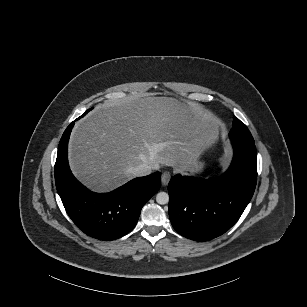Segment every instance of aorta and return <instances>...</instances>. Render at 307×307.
Wrapping results in <instances>:
<instances>
[{"mask_svg": "<svg viewBox=\"0 0 307 307\" xmlns=\"http://www.w3.org/2000/svg\"><path fill=\"white\" fill-rule=\"evenodd\" d=\"M156 201L158 204L164 205L168 203L169 201V196L166 192H159L156 195Z\"/></svg>", "mask_w": 307, "mask_h": 307, "instance_id": "obj_1", "label": "aorta"}]
</instances>
